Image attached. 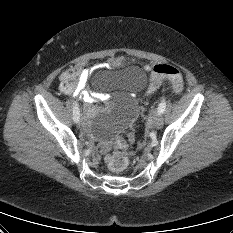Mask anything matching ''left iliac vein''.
Returning a JSON list of instances; mask_svg holds the SVG:
<instances>
[{"label":"left iliac vein","mask_w":233,"mask_h":233,"mask_svg":"<svg viewBox=\"0 0 233 233\" xmlns=\"http://www.w3.org/2000/svg\"><path fill=\"white\" fill-rule=\"evenodd\" d=\"M153 125L155 128L159 129L163 125V116L159 112H155L153 115Z\"/></svg>","instance_id":"obj_1"}]
</instances>
